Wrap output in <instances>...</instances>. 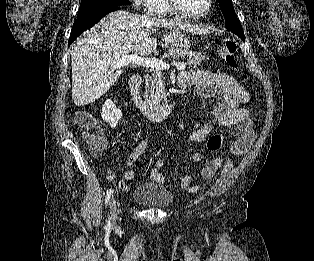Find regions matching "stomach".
<instances>
[{
    "label": "stomach",
    "mask_w": 314,
    "mask_h": 261,
    "mask_svg": "<svg viewBox=\"0 0 314 261\" xmlns=\"http://www.w3.org/2000/svg\"><path fill=\"white\" fill-rule=\"evenodd\" d=\"M165 45L188 51L191 47L189 39L177 29H173L164 37Z\"/></svg>",
    "instance_id": "stomach-1"
}]
</instances>
